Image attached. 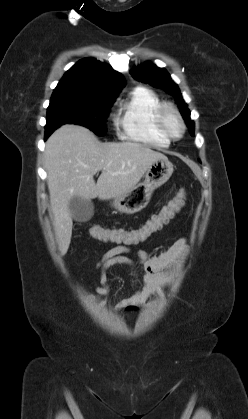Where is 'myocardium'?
Instances as JSON below:
<instances>
[{
    "label": "myocardium",
    "instance_id": "obj_1",
    "mask_svg": "<svg viewBox=\"0 0 248 419\" xmlns=\"http://www.w3.org/2000/svg\"><path fill=\"white\" fill-rule=\"evenodd\" d=\"M171 113L173 114L179 124H180V132L179 134H174L171 132V130L168 128L166 123V116ZM156 120V126L158 130L169 140V141H177L181 139L185 133L186 130V124L185 121L180 113V111L172 104H162L158 110L156 111L155 115Z\"/></svg>",
    "mask_w": 248,
    "mask_h": 419
}]
</instances>
